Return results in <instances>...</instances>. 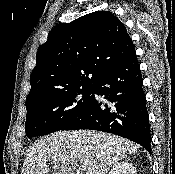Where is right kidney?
<instances>
[{
	"instance_id": "right-kidney-1",
	"label": "right kidney",
	"mask_w": 175,
	"mask_h": 174,
	"mask_svg": "<svg viewBox=\"0 0 175 174\" xmlns=\"http://www.w3.org/2000/svg\"><path fill=\"white\" fill-rule=\"evenodd\" d=\"M109 174H136V168L131 162L122 161L114 165Z\"/></svg>"
}]
</instances>
